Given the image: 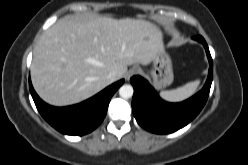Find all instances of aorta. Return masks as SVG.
Returning a JSON list of instances; mask_svg holds the SVG:
<instances>
[{
  "label": "aorta",
  "mask_w": 248,
  "mask_h": 165,
  "mask_svg": "<svg viewBox=\"0 0 248 165\" xmlns=\"http://www.w3.org/2000/svg\"><path fill=\"white\" fill-rule=\"evenodd\" d=\"M133 93V87L128 84L121 86L119 89V95L124 99L131 98L133 96Z\"/></svg>",
  "instance_id": "aorta-1"
}]
</instances>
